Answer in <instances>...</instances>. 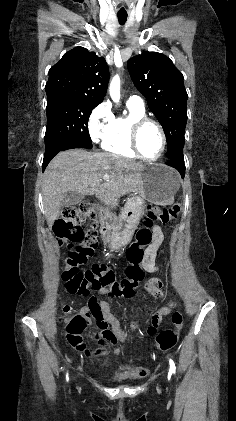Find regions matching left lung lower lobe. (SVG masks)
<instances>
[{"mask_svg": "<svg viewBox=\"0 0 236 421\" xmlns=\"http://www.w3.org/2000/svg\"><path fill=\"white\" fill-rule=\"evenodd\" d=\"M166 164L177 169L181 174L182 178H184L185 168H184V158H172L167 159Z\"/></svg>", "mask_w": 236, "mask_h": 421, "instance_id": "obj_1", "label": "left lung lower lobe"}]
</instances>
